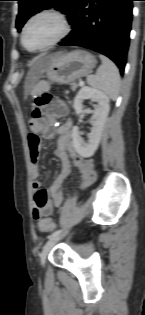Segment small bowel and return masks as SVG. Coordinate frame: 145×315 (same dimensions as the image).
Wrapping results in <instances>:
<instances>
[{"instance_id": "c3829d8e", "label": "small bowel", "mask_w": 145, "mask_h": 315, "mask_svg": "<svg viewBox=\"0 0 145 315\" xmlns=\"http://www.w3.org/2000/svg\"><path fill=\"white\" fill-rule=\"evenodd\" d=\"M72 127V123L67 121L55 130L58 138L53 148V154L60 159L62 170L49 188L50 202H48L47 191L41 189V183L38 180L40 175L39 151L42 141L35 133H42L46 137H49L51 133L43 127H36L34 133H30L29 137H27L31 163L30 173L33 179L32 189L36 191L34 199L37 206L33 209V217L38 221V227L42 216H50L53 210L62 204L64 199V181L70 174L72 167H76L81 173L80 185L82 188L91 185L96 179L94 162L79 155L74 147ZM51 222L54 224L53 220Z\"/></svg>"}]
</instances>
